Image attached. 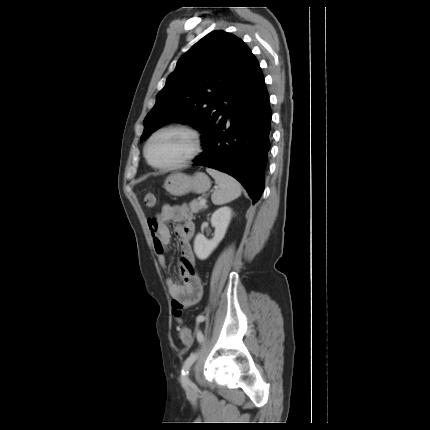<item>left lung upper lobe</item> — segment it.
Here are the masks:
<instances>
[{
	"instance_id": "1",
	"label": "left lung upper lobe",
	"mask_w": 430,
	"mask_h": 430,
	"mask_svg": "<svg viewBox=\"0 0 430 430\" xmlns=\"http://www.w3.org/2000/svg\"><path fill=\"white\" fill-rule=\"evenodd\" d=\"M258 68L240 38L224 31L209 33L177 62L144 120L141 139L170 122H189L205 134L233 100L252 88L250 80Z\"/></svg>"
}]
</instances>
